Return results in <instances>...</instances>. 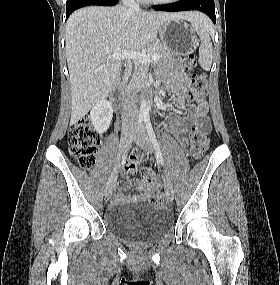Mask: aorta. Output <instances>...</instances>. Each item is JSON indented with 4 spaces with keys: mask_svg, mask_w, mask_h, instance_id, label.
<instances>
[{
    "mask_svg": "<svg viewBox=\"0 0 280 285\" xmlns=\"http://www.w3.org/2000/svg\"><path fill=\"white\" fill-rule=\"evenodd\" d=\"M139 115L142 118H146V117L149 116V106H148V102L145 99V97H142V101H141V104H140Z\"/></svg>",
    "mask_w": 280,
    "mask_h": 285,
    "instance_id": "obj_1",
    "label": "aorta"
}]
</instances>
